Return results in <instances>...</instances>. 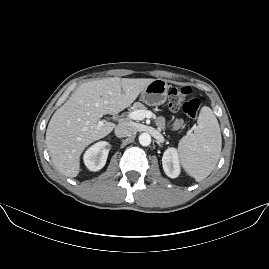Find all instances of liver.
I'll list each match as a JSON object with an SVG mask.
<instances>
[{
	"label": "liver",
	"mask_w": 269,
	"mask_h": 269,
	"mask_svg": "<svg viewBox=\"0 0 269 269\" xmlns=\"http://www.w3.org/2000/svg\"><path fill=\"white\" fill-rule=\"evenodd\" d=\"M153 81L112 77L81 84L56 110L48 124L46 145L57 170L63 175L76 177L83 150L107 136L116 126L100 120L102 116L118 114L129 107Z\"/></svg>",
	"instance_id": "obj_1"
}]
</instances>
